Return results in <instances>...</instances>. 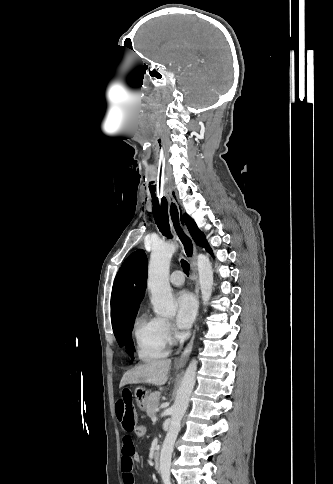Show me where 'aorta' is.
<instances>
[{
  "label": "aorta",
  "instance_id": "1",
  "mask_svg": "<svg viewBox=\"0 0 333 484\" xmlns=\"http://www.w3.org/2000/svg\"><path fill=\"white\" fill-rule=\"evenodd\" d=\"M177 245L173 242L156 245L151 252L148 267L147 286L151 292V303L156 314L172 317L176 306L169 283V267ZM197 267L201 298L204 304L210 300L213 289V268L209 258L203 254L197 256ZM197 361L192 359L185 371L172 406L169 430L162 444L159 471L163 484H171L170 468L174 444L181 429V420L187 410L190 395L196 382Z\"/></svg>",
  "mask_w": 333,
  "mask_h": 484
}]
</instances>
